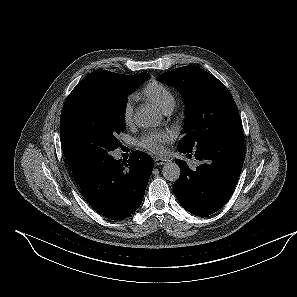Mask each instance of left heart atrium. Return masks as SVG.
Here are the masks:
<instances>
[{"instance_id": "1", "label": "left heart atrium", "mask_w": 297, "mask_h": 297, "mask_svg": "<svg viewBox=\"0 0 297 297\" xmlns=\"http://www.w3.org/2000/svg\"><path fill=\"white\" fill-rule=\"evenodd\" d=\"M170 140L171 134L168 132H148L139 140V145L149 152L159 154L163 152L164 144Z\"/></svg>"}]
</instances>
